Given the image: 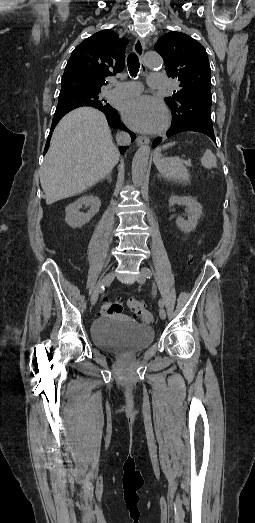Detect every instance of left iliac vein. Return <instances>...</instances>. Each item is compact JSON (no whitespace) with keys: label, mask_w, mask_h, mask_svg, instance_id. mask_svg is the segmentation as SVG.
I'll return each instance as SVG.
<instances>
[{"label":"left iliac vein","mask_w":255,"mask_h":523,"mask_svg":"<svg viewBox=\"0 0 255 523\" xmlns=\"http://www.w3.org/2000/svg\"><path fill=\"white\" fill-rule=\"evenodd\" d=\"M145 280H146L145 279V275H144L143 271H141L140 274L137 277V282L140 283V284H144ZM159 316L163 320L166 318V311H165V309L163 307H161L159 309Z\"/></svg>","instance_id":"1"}]
</instances>
